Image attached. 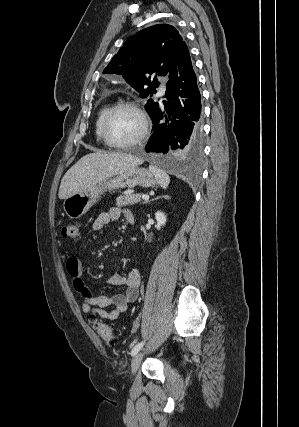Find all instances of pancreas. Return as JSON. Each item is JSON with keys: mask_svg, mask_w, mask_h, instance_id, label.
Segmentation results:
<instances>
[{"mask_svg": "<svg viewBox=\"0 0 299 427\" xmlns=\"http://www.w3.org/2000/svg\"><path fill=\"white\" fill-rule=\"evenodd\" d=\"M141 196L142 194L124 193L116 199V205L118 207L133 205L141 201Z\"/></svg>", "mask_w": 299, "mask_h": 427, "instance_id": "cf45deb5", "label": "pancreas"}]
</instances>
